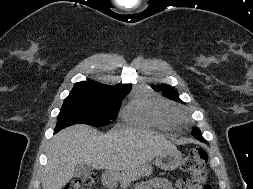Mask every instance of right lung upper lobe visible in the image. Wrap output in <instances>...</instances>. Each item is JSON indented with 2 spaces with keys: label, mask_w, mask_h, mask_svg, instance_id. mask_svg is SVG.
Listing matches in <instances>:
<instances>
[{
  "label": "right lung upper lobe",
  "mask_w": 253,
  "mask_h": 189,
  "mask_svg": "<svg viewBox=\"0 0 253 189\" xmlns=\"http://www.w3.org/2000/svg\"><path fill=\"white\" fill-rule=\"evenodd\" d=\"M131 85L108 86L94 81L78 82L74 85V92H95V91H124L131 89Z\"/></svg>",
  "instance_id": "obj_1"
}]
</instances>
